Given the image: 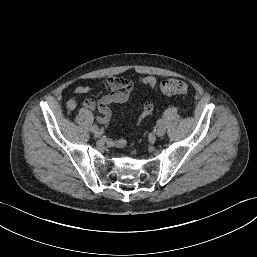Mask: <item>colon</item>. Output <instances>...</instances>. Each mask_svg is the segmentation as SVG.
<instances>
[{
    "label": "colon",
    "mask_w": 257,
    "mask_h": 257,
    "mask_svg": "<svg viewBox=\"0 0 257 257\" xmlns=\"http://www.w3.org/2000/svg\"><path fill=\"white\" fill-rule=\"evenodd\" d=\"M159 92L163 95H179L185 98L188 95V87L182 80L168 79L160 84Z\"/></svg>",
    "instance_id": "1"
}]
</instances>
